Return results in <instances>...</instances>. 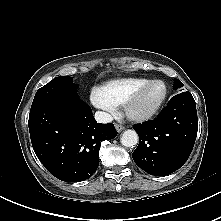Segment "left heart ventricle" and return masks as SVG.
I'll return each instance as SVG.
<instances>
[{
  "label": "left heart ventricle",
  "mask_w": 221,
  "mask_h": 221,
  "mask_svg": "<svg viewBox=\"0 0 221 221\" xmlns=\"http://www.w3.org/2000/svg\"><path fill=\"white\" fill-rule=\"evenodd\" d=\"M163 87L160 84L150 86L143 93L140 101L138 102L135 110L138 113H143L150 110L161 98Z\"/></svg>",
  "instance_id": "1"
}]
</instances>
